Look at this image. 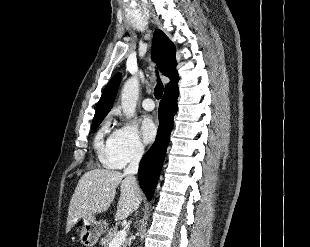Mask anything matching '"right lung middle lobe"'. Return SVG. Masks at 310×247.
I'll use <instances>...</instances> for the list:
<instances>
[{"label": "right lung middle lobe", "instance_id": "obj_1", "mask_svg": "<svg viewBox=\"0 0 310 247\" xmlns=\"http://www.w3.org/2000/svg\"><path fill=\"white\" fill-rule=\"evenodd\" d=\"M103 119H104V117H100V118L94 120L92 123L91 129L92 130L96 129L100 125V123L102 122Z\"/></svg>", "mask_w": 310, "mask_h": 247}]
</instances>
